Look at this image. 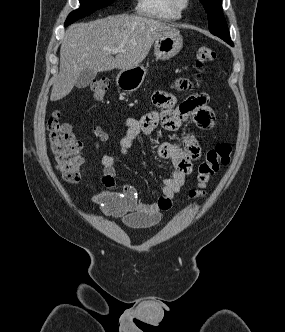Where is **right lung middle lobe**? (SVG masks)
Wrapping results in <instances>:
<instances>
[{
  "instance_id": "obj_1",
  "label": "right lung middle lobe",
  "mask_w": 285,
  "mask_h": 332,
  "mask_svg": "<svg viewBox=\"0 0 285 332\" xmlns=\"http://www.w3.org/2000/svg\"><path fill=\"white\" fill-rule=\"evenodd\" d=\"M80 7L77 10L72 11L66 21L65 26L73 23L74 21L90 15L99 8H103L111 4L114 0H79Z\"/></svg>"
}]
</instances>
